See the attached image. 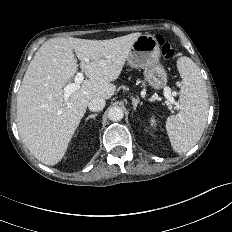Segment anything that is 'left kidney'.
<instances>
[{"label": "left kidney", "mask_w": 232, "mask_h": 232, "mask_svg": "<svg viewBox=\"0 0 232 232\" xmlns=\"http://www.w3.org/2000/svg\"><path fill=\"white\" fill-rule=\"evenodd\" d=\"M150 125L152 126V127H154L155 125H156V119H155V117L154 116H152L151 118H150Z\"/></svg>", "instance_id": "left-kidney-1"}]
</instances>
